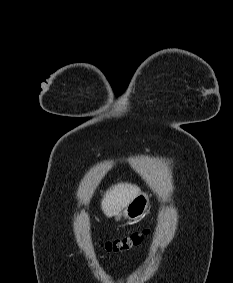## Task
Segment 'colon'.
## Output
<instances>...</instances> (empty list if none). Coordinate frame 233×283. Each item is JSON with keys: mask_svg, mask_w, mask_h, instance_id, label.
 <instances>
[{"mask_svg": "<svg viewBox=\"0 0 233 283\" xmlns=\"http://www.w3.org/2000/svg\"><path fill=\"white\" fill-rule=\"evenodd\" d=\"M147 234L148 230L136 231L126 236L106 242L104 247L106 250L113 252L129 250L139 245Z\"/></svg>", "mask_w": 233, "mask_h": 283, "instance_id": "colon-1", "label": "colon"}]
</instances>
